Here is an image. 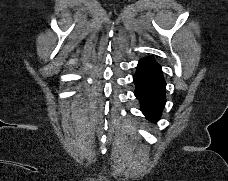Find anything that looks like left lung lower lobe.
Listing matches in <instances>:
<instances>
[{
    "label": "left lung lower lobe",
    "instance_id": "obj_1",
    "mask_svg": "<svg viewBox=\"0 0 228 181\" xmlns=\"http://www.w3.org/2000/svg\"><path fill=\"white\" fill-rule=\"evenodd\" d=\"M135 96L146 118L157 122L165 106L166 82L161 67L151 58L142 59L134 75Z\"/></svg>",
    "mask_w": 228,
    "mask_h": 181
}]
</instances>
